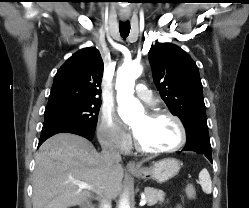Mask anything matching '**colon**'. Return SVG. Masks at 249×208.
<instances>
[{"instance_id": "5ec220e1", "label": "colon", "mask_w": 249, "mask_h": 208, "mask_svg": "<svg viewBox=\"0 0 249 208\" xmlns=\"http://www.w3.org/2000/svg\"><path fill=\"white\" fill-rule=\"evenodd\" d=\"M186 195L189 199L193 200L196 198V195H197V191H196V188L193 184H188L186 186Z\"/></svg>"}]
</instances>
